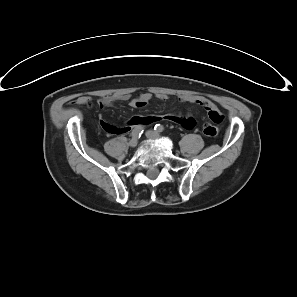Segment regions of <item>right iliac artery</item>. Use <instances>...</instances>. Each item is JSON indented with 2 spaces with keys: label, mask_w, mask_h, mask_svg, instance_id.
<instances>
[{
  "label": "right iliac artery",
  "mask_w": 297,
  "mask_h": 297,
  "mask_svg": "<svg viewBox=\"0 0 297 297\" xmlns=\"http://www.w3.org/2000/svg\"><path fill=\"white\" fill-rule=\"evenodd\" d=\"M143 133V126H138L136 127L133 131H132V136L135 137V136H140L141 134Z\"/></svg>",
  "instance_id": "1"
}]
</instances>
